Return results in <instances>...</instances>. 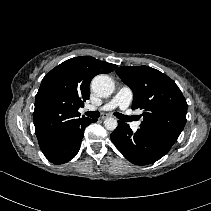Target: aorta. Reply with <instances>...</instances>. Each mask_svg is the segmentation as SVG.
<instances>
[{
	"label": "aorta",
	"instance_id": "1",
	"mask_svg": "<svg viewBox=\"0 0 211 211\" xmlns=\"http://www.w3.org/2000/svg\"><path fill=\"white\" fill-rule=\"evenodd\" d=\"M91 88L98 97L105 98L113 93L114 82L107 75H98L92 80ZM104 126L107 130L113 131L117 127V120L113 117L106 118L104 120Z\"/></svg>",
	"mask_w": 211,
	"mask_h": 211
}]
</instances>
